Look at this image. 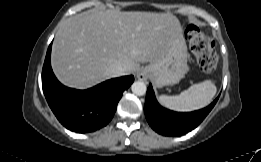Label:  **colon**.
<instances>
[{"mask_svg": "<svg viewBox=\"0 0 261 162\" xmlns=\"http://www.w3.org/2000/svg\"><path fill=\"white\" fill-rule=\"evenodd\" d=\"M185 33L200 68L206 73L213 72L217 66L218 55L214 50L211 37L195 26L187 27Z\"/></svg>", "mask_w": 261, "mask_h": 162, "instance_id": "5ec220e1", "label": "colon"}]
</instances>
